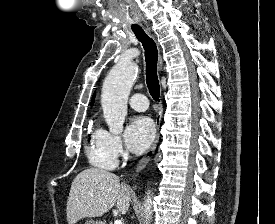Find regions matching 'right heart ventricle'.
I'll return each mask as SVG.
<instances>
[{"instance_id":"e07e8e85","label":"right heart ventricle","mask_w":275,"mask_h":224,"mask_svg":"<svg viewBox=\"0 0 275 224\" xmlns=\"http://www.w3.org/2000/svg\"><path fill=\"white\" fill-rule=\"evenodd\" d=\"M85 149L92 166L105 170L116 166L117 159L108 149L102 129L96 127L89 132Z\"/></svg>"}]
</instances>
